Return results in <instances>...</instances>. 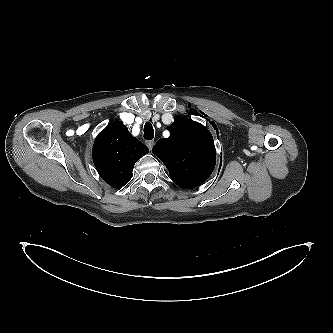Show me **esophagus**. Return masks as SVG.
Wrapping results in <instances>:
<instances>
[{"label": "esophagus", "mask_w": 333, "mask_h": 333, "mask_svg": "<svg viewBox=\"0 0 333 333\" xmlns=\"http://www.w3.org/2000/svg\"><path fill=\"white\" fill-rule=\"evenodd\" d=\"M153 146H154V141L147 142V147L149 148V150H152Z\"/></svg>", "instance_id": "34e87169"}]
</instances>
